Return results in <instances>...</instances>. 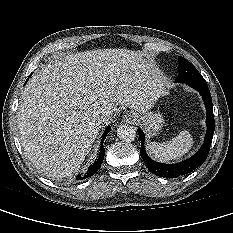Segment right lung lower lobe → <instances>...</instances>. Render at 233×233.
<instances>
[{
	"instance_id": "1",
	"label": "right lung lower lobe",
	"mask_w": 233,
	"mask_h": 233,
	"mask_svg": "<svg viewBox=\"0 0 233 233\" xmlns=\"http://www.w3.org/2000/svg\"><path fill=\"white\" fill-rule=\"evenodd\" d=\"M110 130H111V128H110V126H108L107 129L105 130L104 134H103L102 142H103V140L105 139L106 135L109 133ZM104 155H105V150L103 149V146L101 145L98 160L88 168V171H87L86 175H84V176L78 175L77 180L78 179H84V178L90 177L93 174H95V172L99 169V167L101 166V164L103 162Z\"/></svg>"
}]
</instances>
